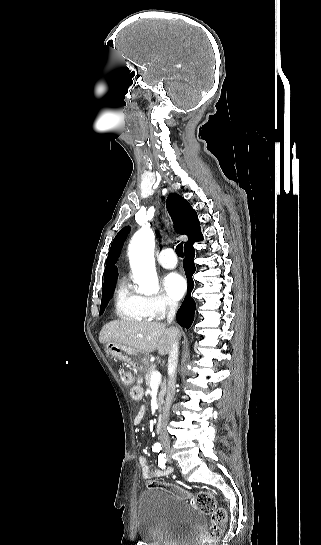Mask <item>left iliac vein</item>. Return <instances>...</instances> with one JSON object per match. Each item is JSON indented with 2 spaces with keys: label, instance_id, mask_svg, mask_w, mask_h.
<instances>
[{
  "label": "left iliac vein",
  "instance_id": "4c4485c4",
  "mask_svg": "<svg viewBox=\"0 0 321 545\" xmlns=\"http://www.w3.org/2000/svg\"><path fill=\"white\" fill-rule=\"evenodd\" d=\"M167 461H168L169 463L172 462V458H171V455L169 454V452H167Z\"/></svg>",
  "mask_w": 321,
  "mask_h": 545
}]
</instances>
